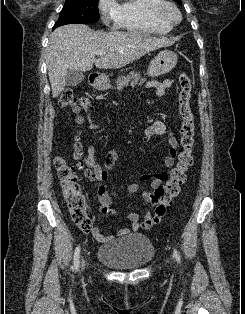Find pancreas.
Returning <instances> with one entry per match:
<instances>
[{
	"instance_id": "cf45deb5",
	"label": "pancreas",
	"mask_w": 245,
	"mask_h": 314,
	"mask_svg": "<svg viewBox=\"0 0 245 314\" xmlns=\"http://www.w3.org/2000/svg\"><path fill=\"white\" fill-rule=\"evenodd\" d=\"M131 81V85H137L138 83H143L145 79L141 78L140 74L135 71H131L126 77L121 76L117 79V88L122 89L124 86L129 85Z\"/></svg>"
}]
</instances>
